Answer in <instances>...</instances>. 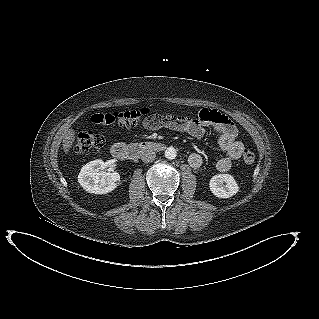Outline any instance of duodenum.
Listing matches in <instances>:
<instances>
[{"label":"duodenum","instance_id":"obj_1","mask_svg":"<svg viewBox=\"0 0 319 319\" xmlns=\"http://www.w3.org/2000/svg\"><path fill=\"white\" fill-rule=\"evenodd\" d=\"M162 149H164V145L162 143L153 141L135 142L130 145L117 143L111 147L110 154L115 160L119 162H126L136 159L146 153L160 151Z\"/></svg>","mask_w":319,"mask_h":319}]
</instances>
